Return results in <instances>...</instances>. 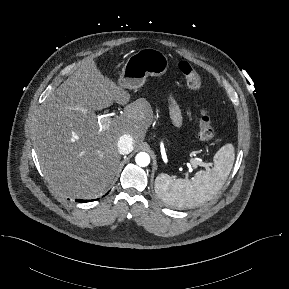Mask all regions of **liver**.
<instances>
[{
  "label": "liver",
  "instance_id": "obj_1",
  "mask_svg": "<svg viewBox=\"0 0 289 289\" xmlns=\"http://www.w3.org/2000/svg\"><path fill=\"white\" fill-rule=\"evenodd\" d=\"M130 94L103 76L93 59L80 67L45 100L34 143L41 170L54 191L65 197L93 199L106 192L120 162L117 143L124 134L144 140L153 120L145 99L129 104ZM114 102L126 105L106 128L96 111Z\"/></svg>",
  "mask_w": 289,
  "mask_h": 289
}]
</instances>
